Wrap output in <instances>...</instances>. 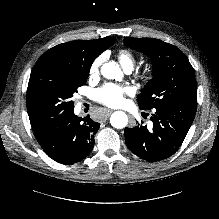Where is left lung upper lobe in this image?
I'll return each mask as SVG.
<instances>
[{"instance_id":"left-lung-upper-lobe-1","label":"left lung upper lobe","mask_w":219,"mask_h":219,"mask_svg":"<svg viewBox=\"0 0 219 219\" xmlns=\"http://www.w3.org/2000/svg\"><path fill=\"white\" fill-rule=\"evenodd\" d=\"M124 42L131 49L148 55L153 64L154 78L137 96L140 109L197 101L195 72L182 51L158 39L126 37Z\"/></svg>"}]
</instances>
